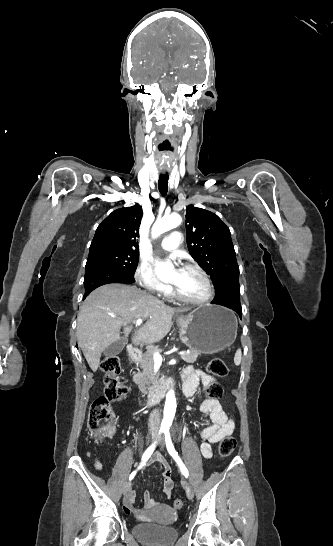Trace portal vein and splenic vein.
<instances>
[{
	"instance_id": "1",
	"label": "portal vein and splenic vein",
	"mask_w": 333,
	"mask_h": 546,
	"mask_svg": "<svg viewBox=\"0 0 333 546\" xmlns=\"http://www.w3.org/2000/svg\"><path fill=\"white\" fill-rule=\"evenodd\" d=\"M132 322H133L136 326H140V325L142 324V319H137V320L132 321ZM186 353H188V352L180 351V352H178V355H184V354H186ZM153 358H154V362L157 363V364H159V365H160V364L162 363V361H163V358H162V356L160 355L159 352H154Z\"/></svg>"
}]
</instances>
